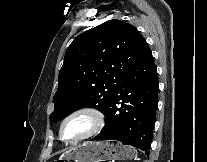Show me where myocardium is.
Returning a JSON list of instances; mask_svg holds the SVG:
<instances>
[{"label":"myocardium","instance_id":"myocardium-1","mask_svg":"<svg viewBox=\"0 0 207 162\" xmlns=\"http://www.w3.org/2000/svg\"><path fill=\"white\" fill-rule=\"evenodd\" d=\"M80 115L90 116L92 119V127L90 128L89 131H87L85 134L81 135L80 137H77L75 139H70V140L65 139L64 134H63L65 125L70 120ZM105 120L106 119H105L104 113L97 107L84 106V107L78 108L75 111L71 112L69 115H67L61 122L60 129H59L60 139L66 143H76V142H80L85 139H88L101 131V129L105 125Z\"/></svg>","mask_w":207,"mask_h":162}]
</instances>
